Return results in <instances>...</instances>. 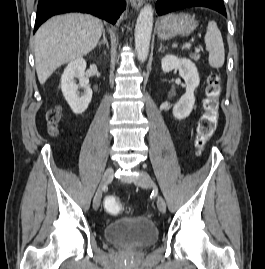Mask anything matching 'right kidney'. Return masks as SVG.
Masks as SVG:
<instances>
[{"label":"right kidney","instance_id":"obj_1","mask_svg":"<svg viewBox=\"0 0 265 269\" xmlns=\"http://www.w3.org/2000/svg\"><path fill=\"white\" fill-rule=\"evenodd\" d=\"M86 61L78 58L71 61L61 77V90L65 100L75 114H82L88 108L92 99V90L89 79L85 77ZM76 79L79 83H76ZM79 88L84 90L80 94Z\"/></svg>","mask_w":265,"mask_h":269}]
</instances>
